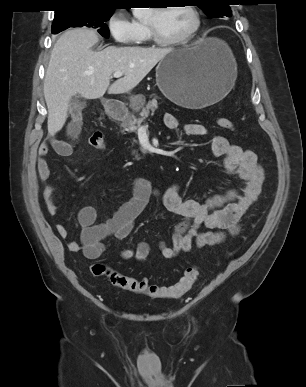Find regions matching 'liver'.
<instances>
[{
	"instance_id": "1",
	"label": "liver",
	"mask_w": 306,
	"mask_h": 387,
	"mask_svg": "<svg viewBox=\"0 0 306 387\" xmlns=\"http://www.w3.org/2000/svg\"><path fill=\"white\" fill-rule=\"evenodd\" d=\"M98 41L94 30L76 28L62 34L52 49L43 87L48 133L52 136L64 126L72 96L98 99L106 91L129 93L174 50L108 46L102 51H93ZM115 72H122L124 76L110 85Z\"/></svg>"
}]
</instances>
